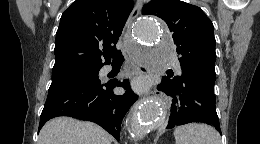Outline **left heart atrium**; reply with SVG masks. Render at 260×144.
Returning <instances> with one entry per match:
<instances>
[{"label":"left heart atrium","instance_id":"left-heart-atrium-1","mask_svg":"<svg viewBox=\"0 0 260 144\" xmlns=\"http://www.w3.org/2000/svg\"><path fill=\"white\" fill-rule=\"evenodd\" d=\"M134 86L137 88V89H144L146 87V81L143 80V79H137L135 82H134Z\"/></svg>","mask_w":260,"mask_h":144}]
</instances>
